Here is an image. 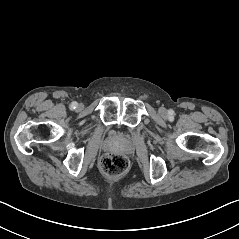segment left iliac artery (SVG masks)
<instances>
[{"label":"left iliac artery","mask_w":239,"mask_h":239,"mask_svg":"<svg viewBox=\"0 0 239 239\" xmlns=\"http://www.w3.org/2000/svg\"><path fill=\"white\" fill-rule=\"evenodd\" d=\"M169 114L172 115V114H173V111H169Z\"/></svg>","instance_id":"44dca946"}]
</instances>
